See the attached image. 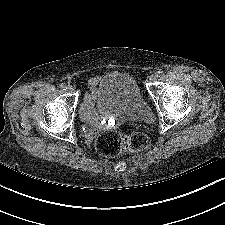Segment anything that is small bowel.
I'll return each mask as SVG.
<instances>
[{"label": "small bowel", "instance_id": "obj_1", "mask_svg": "<svg viewBox=\"0 0 225 225\" xmlns=\"http://www.w3.org/2000/svg\"><path fill=\"white\" fill-rule=\"evenodd\" d=\"M100 79L98 77L92 78L90 80L91 92L85 94L84 101L80 107V116L83 121L92 123L94 121V104H95V87ZM88 140H92L95 129L94 127H89L86 129Z\"/></svg>", "mask_w": 225, "mask_h": 225}]
</instances>
